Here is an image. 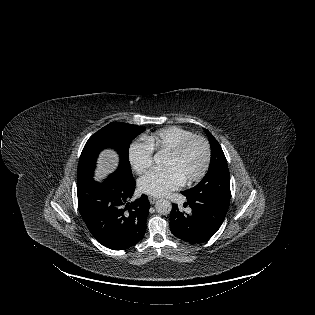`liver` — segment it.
<instances>
[{
    "instance_id": "6515ba94",
    "label": "liver",
    "mask_w": 315,
    "mask_h": 315,
    "mask_svg": "<svg viewBox=\"0 0 315 315\" xmlns=\"http://www.w3.org/2000/svg\"><path fill=\"white\" fill-rule=\"evenodd\" d=\"M117 166V156L111 151H105L99 158L98 169L96 171V178H102L106 174L112 172Z\"/></svg>"
}]
</instances>
